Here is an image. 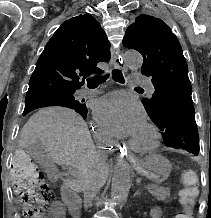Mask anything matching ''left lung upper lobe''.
I'll return each instance as SVG.
<instances>
[{
    "label": "left lung upper lobe",
    "instance_id": "1",
    "mask_svg": "<svg viewBox=\"0 0 211 218\" xmlns=\"http://www.w3.org/2000/svg\"><path fill=\"white\" fill-rule=\"evenodd\" d=\"M123 45L143 56L141 74L149 77L155 92L142 103L161 130L166 146L198 155L199 137L188 67L170 27L159 18L140 15L126 30Z\"/></svg>",
    "mask_w": 211,
    "mask_h": 218
}]
</instances>
